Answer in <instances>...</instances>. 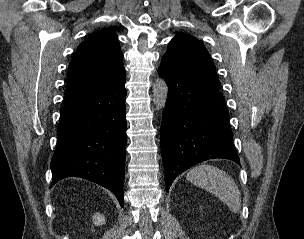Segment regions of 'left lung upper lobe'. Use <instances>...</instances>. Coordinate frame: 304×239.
Listing matches in <instances>:
<instances>
[{
	"instance_id": "obj_1",
	"label": "left lung upper lobe",
	"mask_w": 304,
	"mask_h": 239,
	"mask_svg": "<svg viewBox=\"0 0 304 239\" xmlns=\"http://www.w3.org/2000/svg\"><path fill=\"white\" fill-rule=\"evenodd\" d=\"M162 59L169 61L186 75L220 89L215 65L207 49L195 37L186 33L177 34L170 41Z\"/></svg>"
}]
</instances>
